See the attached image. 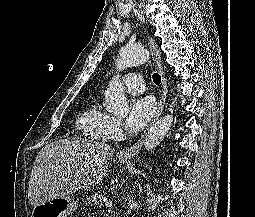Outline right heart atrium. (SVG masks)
I'll use <instances>...</instances> for the list:
<instances>
[{
    "label": "right heart atrium",
    "instance_id": "d8ad5b80",
    "mask_svg": "<svg viewBox=\"0 0 255 217\" xmlns=\"http://www.w3.org/2000/svg\"><path fill=\"white\" fill-rule=\"evenodd\" d=\"M108 135L112 138H117L122 135L121 122L117 118H110L108 123Z\"/></svg>",
    "mask_w": 255,
    "mask_h": 217
}]
</instances>
